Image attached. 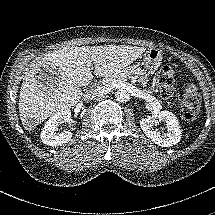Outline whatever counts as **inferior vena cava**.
<instances>
[{
    "label": "inferior vena cava",
    "instance_id": "602c4592",
    "mask_svg": "<svg viewBox=\"0 0 215 215\" xmlns=\"http://www.w3.org/2000/svg\"><path fill=\"white\" fill-rule=\"evenodd\" d=\"M105 87H96L95 89H92L90 91H87L83 96L84 99H95L97 97H101L105 92Z\"/></svg>",
    "mask_w": 215,
    "mask_h": 215
}]
</instances>
